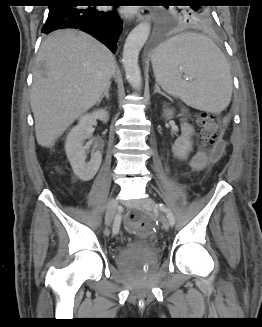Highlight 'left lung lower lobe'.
<instances>
[{
  "instance_id": "obj_1",
  "label": "left lung lower lobe",
  "mask_w": 262,
  "mask_h": 327,
  "mask_svg": "<svg viewBox=\"0 0 262 327\" xmlns=\"http://www.w3.org/2000/svg\"><path fill=\"white\" fill-rule=\"evenodd\" d=\"M159 42V38H156V43H158Z\"/></svg>"
}]
</instances>
